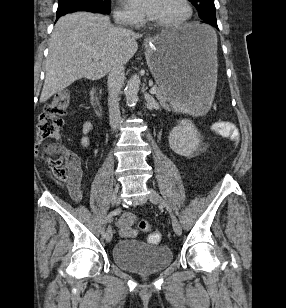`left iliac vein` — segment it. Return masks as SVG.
Masks as SVG:
<instances>
[{
	"label": "left iliac vein",
	"instance_id": "obj_1",
	"mask_svg": "<svg viewBox=\"0 0 286 308\" xmlns=\"http://www.w3.org/2000/svg\"><path fill=\"white\" fill-rule=\"evenodd\" d=\"M148 197H149V200L152 203H158L161 206L165 207L169 211V213L171 215V218H172L173 230L176 233V235L180 236L181 235V225H180L177 217L173 213L170 205L153 188H149V195H148Z\"/></svg>",
	"mask_w": 286,
	"mask_h": 308
}]
</instances>
